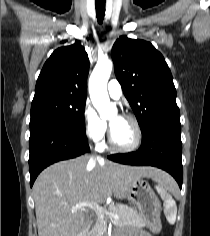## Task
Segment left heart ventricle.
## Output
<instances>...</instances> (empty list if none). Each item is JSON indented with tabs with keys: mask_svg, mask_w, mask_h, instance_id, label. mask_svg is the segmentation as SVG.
Masks as SVG:
<instances>
[{
	"mask_svg": "<svg viewBox=\"0 0 210 236\" xmlns=\"http://www.w3.org/2000/svg\"><path fill=\"white\" fill-rule=\"evenodd\" d=\"M117 116H112V123ZM112 138L116 145L126 147L131 145L135 140V128L131 121L121 117V119L111 126Z\"/></svg>",
	"mask_w": 210,
	"mask_h": 236,
	"instance_id": "1",
	"label": "left heart ventricle"
}]
</instances>
